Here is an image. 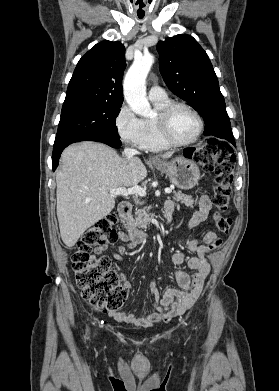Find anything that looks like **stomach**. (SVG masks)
I'll use <instances>...</instances> for the list:
<instances>
[{
    "label": "stomach",
    "mask_w": 279,
    "mask_h": 391,
    "mask_svg": "<svg viewBox=\"0 0 279 391\" xmlns=\"http://www.w3.org/2000/svg\"><path fill=\"white\" fill-rule=\"evenodd\" d=\"M154 166L165 173L175 186L183 190L192 189L200 179L198 166L192 160L184 157H178L171 161H159L154 163Z\"/></svg>",
    "instance_id": "1"
}]
</instances>
